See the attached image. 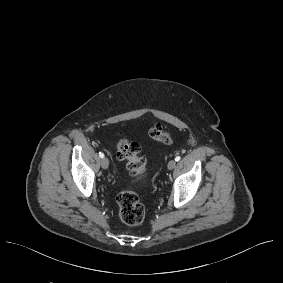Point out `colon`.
<instances>
[{
    "instance_id": "colon-1",
    "label": "colon",
    "mask_w": 283,
    "mask_h": 283,
    "mask_svg": "<svg viewBox=\"0 0 283 283\" xmlns=\"http://www.w3.org/2000/svg\"><path fill=\"white\" fill-rule=\"evenodd\" d=\"M149 137L162 144H169L170 134L159 124L150 127ZM117 156L127 162L129 172L139 177L146 170V159L140 155V147L135 142H130L121 137L116 144ZM120 219L128 226H138L145 219V209L137 194L133 191L121 192L116 197Z\"/></svg>"
}]
</instances>
